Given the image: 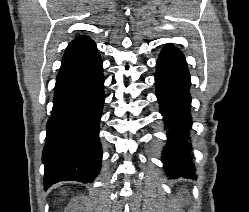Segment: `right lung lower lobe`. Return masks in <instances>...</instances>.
<instances>
[{
  "instance_id": "right-lung-lower-lobe-1",
  "label": "right lung lower lobe",
  "mask_w": 249,
  "mask_h": 212,
  "mask_svg": "<svg viewBox=\"0 0 249 212\" xmlns=\"http://www.w3.org/2000/svg\"><path fill=\"white\" fill-rule=\"evenodd\" d=\"M100 55L58 73L43 150L45 188L59 181L93 182L101 168L99 122L104 103Z\"/></svg>"
}]
</instances>
